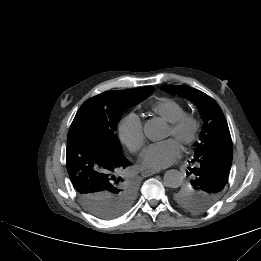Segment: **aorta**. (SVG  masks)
Returning <instances> with one entry per match:
<instances>
[{"instance_id": "aorta-1", "label": "aorta", "mask_w": 261, "mask_h": 261, "mask_svg": "<svg viewBox=\"0 0 261 261\" xmlns=\"http://www.w3.org/2000/svg\"><path fill=\"white\" fill-rule=\"evenodd\" d=\"M164 130L163 123L156 120H149L144 126V133L150 140H157L162 136ZM164 184L169 188H178L182 184V174L178 170H168L164 174Z\"/></svg>"}]
</instances>
